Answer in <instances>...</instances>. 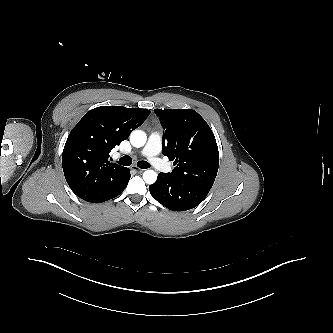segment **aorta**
<instances>
[{
  "label": "aorta",
  "instance_id": "obj_1",
  "mask_svg": "<svg viewBox=\"0 0 333 333\" xmlns=\"http://www.w3.org/2000/svg\"><path fill=\"white\" fill-rule=\"evenodd\" d=\"M146 139L147 136L145 132L141 130H134L130 135V142L136 148L144 146ZM143 179L147 184H153L157 179V174L153 170H146L143 173Z\"/></svg>",
  "mask_w": 333,
  "mask_h": 333
}]
</instances>
